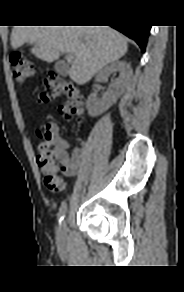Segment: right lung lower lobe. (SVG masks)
<instances>
[{
  "label": "right lung lower lobe",
  "instance_id": "right-lung-lower-lobe-1",
  "mask_svg": "<svg viewBox=\"0 0 184 292\" xmlns=\"http://www.w3.org/2000/svg\"><path fill=\"white\" fill-rule=\"evenodd\" d=\"M112 27L122 32L123 34L133 39L134 41H136V43L140 46L141 50L143 52L145 51L151 26H148V25L130 26V25L122 24V25H112Z\"/></svg>",
  "mask_w": 184,
  "mask_h": 292
}]
</instances>
